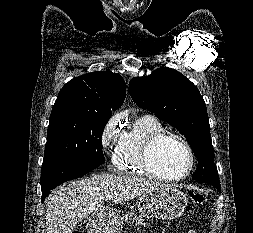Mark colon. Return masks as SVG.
Wrapping results in <instances>:
<instances>
[{"instance_id": "5ec220e1", "label": "colon", "mask_w": 253, "mask_h": 233, "mask_svg": "<svg viewBox=\"0 0 253 233\" xmlns=\"http://www.w3.org/2000/svg\"><path fill=\"white\" fill-rule=\"evenodd\" d=\"M191 200L195 205H201L205 202V196L200 193H194L191 195ZM73 233H80V231H74Z\"/></svg>"}]
</instances>
